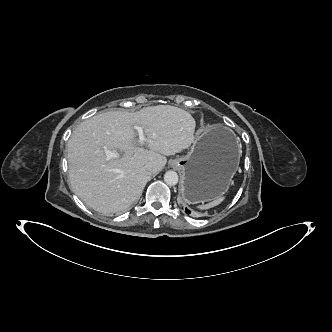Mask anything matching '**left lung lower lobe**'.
I'll return each instance as SVG.
<instances>
[{"label":"left lung lower lobe","mask_w":332,"mask_h":332,"mask_svg":"<svg viewBox=\"0 0 332 332\" xmlns=\"http://www.w3.org/2000/svg\"><path fill=\"white\" fill-rule=\"evenodd\" d=\"M185 210H186V213H187V214H189V213H190V211H189V210H187V209H185Z\"/></svg>","instance_id":"1"}]
</instances>
